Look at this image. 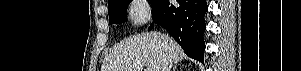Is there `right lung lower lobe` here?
Returning <instances> with one entry per match:
<instances>
[{
  "mask_svg": "<svg viewBox=\"0 0 301 71\" xmlns=\"http://www.w3.org/2000/svg\"><path fill=\"white\" fill-rule=\"evenodd\" d=\"M176 1L178 4L172 5L169 0H156L152 7L153 21L167 29L189 57L204 63L206 0Z\"/></svg>",
  "mask_w": 301,
  "mask_h": 71,
  "instance_id": "98d812e1",
  "label": "right lung lower lobe"
}]
</instances>
